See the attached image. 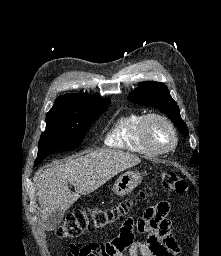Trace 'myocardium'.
Returning <instances> with one entry per match:
<instances>
[{"label": "myocardium", "instance_id": "obj_1", "mask_svg": "<svg viewBox=\"0 0 221 256\" xmlns=\"http://www.w3.org/2000/svg\"><path fill=\"white\" fill-rule=\"evenodd\" d=\"M153 120H160V121L164 122L169 127V129L172 133V136H173V140H172V143L168 147L160 148V147L156 146L153 143V141L151 140V138L149 136L148 127H149V124ZM140 137H141L142 141L150 149H152L156 154H164V153L171 151L172 149H174V147L177 145V142H178V133H177V129H176L175 125L168 117H166L165 115H163L161 113H148V114L144 115V117L142 118V121H141Z\"/></svg>", "mask_w": 221, "mask_h": 256}]
</instances>
